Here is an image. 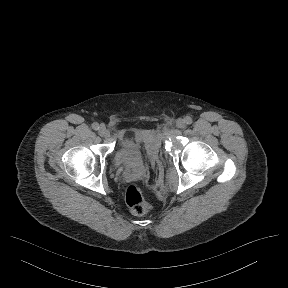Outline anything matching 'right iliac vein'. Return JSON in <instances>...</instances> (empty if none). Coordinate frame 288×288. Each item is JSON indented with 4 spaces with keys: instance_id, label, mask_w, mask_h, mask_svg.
<instances>
[{
    "instance_id": "obj_1",
    "label": "right iliac vein",
    "mask_w": 288,
    "mask_h": 288,
    "mask_svg": "<svg viewBox=\"0 0 288 288\" xmlns=\"http://www.w3.org/2000/svg\"><path fill=\"white\" fill-rule=\"evenodd\" d=\"M98 134H99L100 136H106V135L108 134V130H107V128L105 127V125H100V126H99Z\"/></svg>"
}]
</instances>
